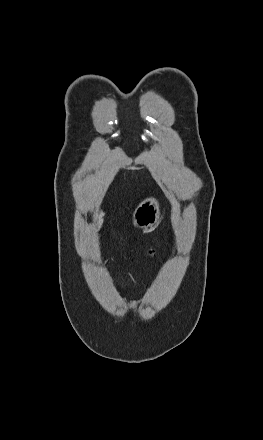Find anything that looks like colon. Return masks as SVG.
I'll list each match as a JSON object with an SVG mask.
<instances>
[{"label":"colon","instance_id":"1","mask_svg":"<svg viewBox=\"0 0 263 440\" xmlns=\"http://www.w3.org/2000/svg\"><path fill=\"white\" fill-rule=\"evenodd\" d=\"M154 252V250H150V253H153Z\"/></svg>","mask_w":263,"mask_h":440}]
</instances>
